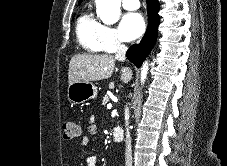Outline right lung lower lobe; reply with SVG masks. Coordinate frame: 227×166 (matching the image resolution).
Segmentation results:
<instances>
[{
	"mask_svg": "<svg viewBox=\"0 0 227 166\" xmlns=\"http://www.w3.org/2000/svg\"><path fill=\"white\" fill-rule=\"evenodd\" d=\"M148 11L147 31L139 44H135L127 51L128 59L137 67L142 65L145 57L149 54L155 44L159 25V3L158 0H146Z\"/></svg>",
	"mask_w": 227,
	"mask_h": 166,
	"instance_id": "98d812e1",
	"label": "right lung lower lobe"
}]
</instances>
